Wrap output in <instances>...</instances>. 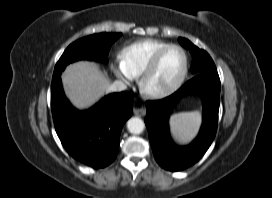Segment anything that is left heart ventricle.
<instances>
[{
    "label": "left heart ventricle",
    "mask_w": 272,
    "mask_h": 198,
    "mask_svg": "<svg viewBox=\"0 0 272 198\" xmlns=\"http://www.w3.org/2000/svg\"><path fill=\"white\" fill-rule=\"evenodd\" d=\"M184 57L180 50L171 49L161 59L157 70L149 79L148 86L153 90H162L171 86L181 75Z\"/></svg>",
    "instance_id": "1"
}]
</instances>
